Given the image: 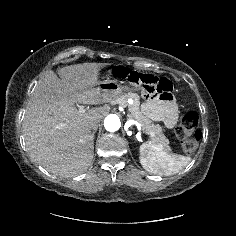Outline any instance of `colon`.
Wrapping results in <instances>:
<instances>
[{
	"instance_id": "colon-1",
	"label": "colon",
	"mask_w": 236,
	"mask_h": 236,
	"mask_svg": "<svg viewBox=\"0 0 236 236\" xmlns=\"http://www.w3.org/2000/svg\"><path fill=\"white\" fill-rule=\"evenodd\" d=\"M114 75L119 79L128 80L131 83H137L140 76L135 72H129L124 67H116ZM147 84L145 89L149 92H157L158 94L167 95L171 91V83L167 79L157 80L147 77L144 79ZM199 116L197 112L190 110L182 118L181 122L175 128V134L178 138L181 148L185 154L193 153L201 139V132L197 129Z\"/></svg>"
}]
</instances>
